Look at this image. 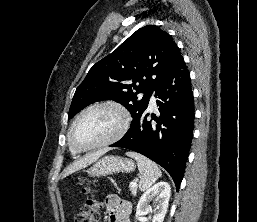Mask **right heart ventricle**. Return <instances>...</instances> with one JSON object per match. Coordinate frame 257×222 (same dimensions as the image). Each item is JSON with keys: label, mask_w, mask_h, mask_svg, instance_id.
<instances>
[{"label": "right heart ventricle", "mask_w": 257, "mask_h": 222, "mask_svg": "<svg viewBox=\"0 0 257 222\" xmlns=\"http://www.w3.org/2000/svg\"><path fill=\"white\" fill-rule=\"evenodd\" d=\"M70 149H71V147H70ZM71 151H72V153H74V154L76 153V152H75L74 150H72V149H71Z\"/></svg>", "instance_id": "obj_1"}]
</instances>
